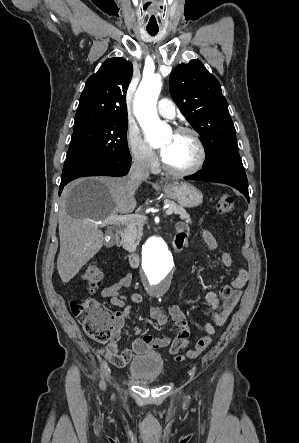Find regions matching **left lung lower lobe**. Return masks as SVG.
<instances>
[{
	"label": "left lung lower lobe",
	"mask_w": 299,
	"mask_h": 443,
	"mask_svg": "<svg viewBox=\"0 0 299 443\" xmlns=\"http://www.w3.org/2000/svg\"><path fill=\"white\" fill-rule=\"evenodd\" d=\"M186 179L228 184L239 190L249 202L248 181L243 166L235 164L214 165L203 168L194 175L187 176Z\"/></svg>",
	"instance_id": "obj_1"
}]
</instances>
